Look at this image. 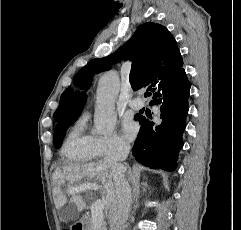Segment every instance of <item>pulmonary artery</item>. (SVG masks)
Here are the masks:
<instances>
[{
    "mask_svg": "<svg viewBox=\"0 0 241 230\" xmlns=\"http://www.w3.org/2000/svg\"><path fill=\"white\" fill-rule=\"evenodd\" d=\"M144 105V101L140 98H135L129 101V106L135 110L142 108Z\"/></svg>",
    "mask_w": 241,
    "mask_h": 230,
    "instance_id": "1",
    "label": "pulmonary artery"
}]
</instances>
